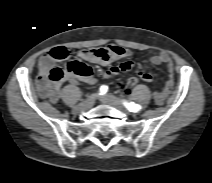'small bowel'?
Masks as SVG:
<instances>
[{
  "label": "small bowel",
  "mask_w": 212,
  "mask_h": 183,
  "mask_svg": "<svg viewBox=\"0 0 212 183\" xmlns=\"http://www.w3.org/2000/svg\"><path fill=\"white\" fill-rule=\"evenodd\" d=\"M131 55V51L118 46L109 45L106 47H98L92 49H84L79 51L78 56L88 62L100 65H109L116 60L126 58ZM150 61L154 65L165 64L168 69V79L160 91L155 92L154 98L157 104H163L168 95L171 93L174 84V72L173 63L169 55L160 51L150 58ZM56 64V60L47 53L39 59V89L40 93L44 98H47L51 103L55 104L58 102L61 93V83L69 82L74 85L81 80L87 84H94L96 82L93 70L88 67V74L85 76L75 75L73 73H66L64 79L59 83H52L47 79V74ZM132 67L131 62H124L119 65H113L107 68L104 72L105 77H113L120 72L126 71ZM137 73L139 77L145 82H152L154 77L151 73L144 71L142 68H138Z\"/></svg>",
  "instance_id": "small-bowel-1"
}]
</instances>
